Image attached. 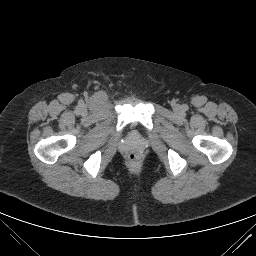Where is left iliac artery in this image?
<instances>
[{"mask_svg": "<svg viewBox=\"0 0 256 256\" xmlns=\"http://www.w3.org/2000/svg\"><path fill=\"white\" fill-rule=\"evenodd\" d=\"M183 109H184V110H187V106H184Z\"/></svg>", "mask_w": 256, "mask_h": 256, "instance_id": "obj_1", "label": "left iliac artery"}]
</instances>
